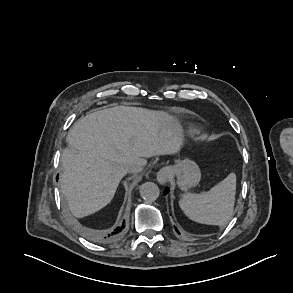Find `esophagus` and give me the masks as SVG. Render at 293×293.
Listing matches in <instances>:
<instances>
[{
    "label": "esophagus",
    "instance_id": "obj_1",
    "mask_svg": "<svg viewBox=\"0 0 293 293\" xmlns=\"http://www.w3.org/2000/svg\"><path fill=\"white\" fill-rule=\"evenodd\" d=\"M170 178V169L165 167L159 170L157 173V180L159 183L164 184L166 183Z\"/></svg>",
    "mask_w": 293,
    "mask_h": 293
}]
</instances>
